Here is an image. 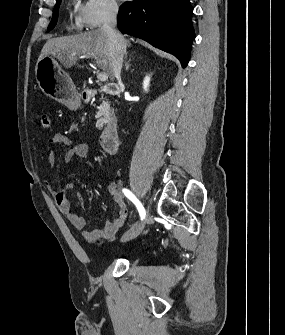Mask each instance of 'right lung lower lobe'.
<instances>
[{
	"label": "right lung lower lobe",
	"mask_w": 285,
	"mask_h": 335,
	"mask_svg": "<svg viewBox=\"0 0 285 335\" xmlns=\"http://www.w3.org/2000/svg\"><path fill=\"white\" fill-rule=\"evenodd\" d=\"M189 0H133L118 13L119 29L176 56L182 67L190 59L195 37Z\"/></svg>",
	"instance_id": "98d812e1"
}]
</instances>
